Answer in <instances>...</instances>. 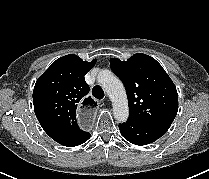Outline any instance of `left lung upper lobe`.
I'll return each instance as SVG.
<instances>
[{
    "mask_svg": "<svg viewBox=\"0 0 209 179\" xmlns=\"http://www.w3.org/2000/svg\"><path fill=\"white\" fill-rule=\"evenodd\" d=\"M110 67L125 86L129 118L167 131L178 111V94L162 66L137 53L127 61L112 58Z\"/></svg>",
    "mask_w": 209,
    "mask_h": 179,
    "instance_id": "1",
    "label": "left lung upper lobe"
}]
</instances>
